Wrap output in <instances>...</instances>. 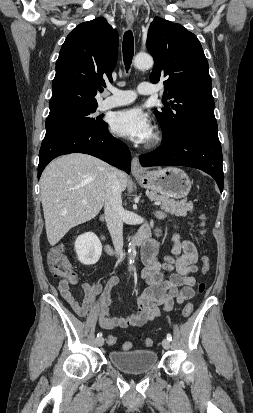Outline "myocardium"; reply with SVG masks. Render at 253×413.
<instances>
[{
    "label": "myocardium",
    "mask_w": 253,
    "mask_h": 413,
    "mask_svg": "<svg viewBox=\"0 0 253 413\" xmlns=\"http://www.w3.org/2000/svg\"><path fill=\"white\" fill-rule=\"evenodd\" d=\"M161 142V136L159 134H155L150 142L148 143V147H155L159 145Z\"/></svg>",
    "instance_id": "1"
}]
</instances>
